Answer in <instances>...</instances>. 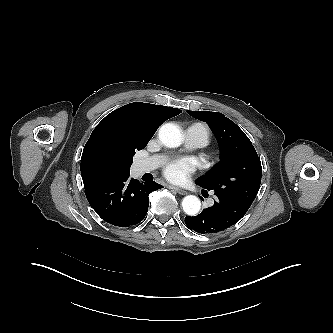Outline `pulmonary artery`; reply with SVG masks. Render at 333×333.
Listing matches in <instances>:
<instances>
[{"label": "pulmonary artery", "mask_w": 333, "mask_h": 333, "mask_svg": "<svg viewBox=\"0 0 333 333\" xmlns=\"http://www.w3.org/2000/svg\"><path fill=\"white\" fill-rule=\"evenodd\" d=\"M208 143V131L202 124L196 123L190 125L185 130V147L187 149H196L204 147ZM162 161L161 156L140 160L137 163L139 173H146L154 170Z\"/></svg>", "instance_id": "pulmonary-artery-1"}]
</instances>
